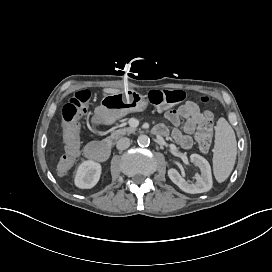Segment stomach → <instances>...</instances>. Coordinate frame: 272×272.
Here are the masks:
<instances>
[{
	"label": "stomach",
	"instance_id": "stomach-1",
	"mask_svg": "<svg viewBox=\"0 0 272 272\" xmlns=\"http://www.w3.org/2000/svg\"><path fill=\"white\" fill-rule=\"evenodd\" d=\"M147 105V99L133 89L105 95L101 100V107L116 118H121L130 112L144 111Z\"/></svg>",
	"mask_w": 272,
	"mask_h": 272
}]
</instances>
